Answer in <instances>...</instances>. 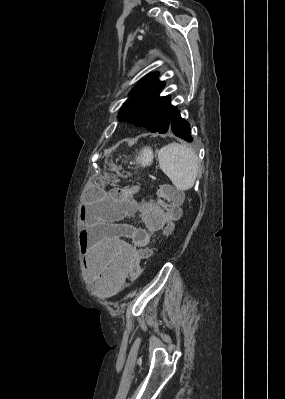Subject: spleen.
I'll return each mask as SVG.
<instances>
[{"label": "spleen", "mask_w": 285, "mask_h": 399, "mask_svg": "<svg viewBox=\"0 0 285 399\" xmlns=\"http://www.w3.org/2000/svg\"><path fill=\"white\" fill-rule=\"evenodd\" d=\"M160 169L170 178L175 187L181 191L193 187L199 169L198 157L185 145L171 143L158 152Z\"/></svg>", "instance_id": "obj_1"}]
</instances>
